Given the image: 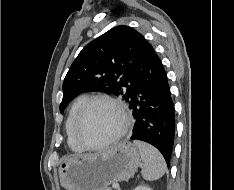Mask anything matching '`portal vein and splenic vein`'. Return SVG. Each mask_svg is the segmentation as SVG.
Returning <instances> with one entry per match:
<instances>
[{"mask_svg": "<svg viewBox=\"0 0 234 190\" xmlns=\"http://www.w3.org/2000/svg\"><path fill=\"white\" fill-rule=\"evenodd\" d=\"M112 187H113L114 189H118V188H119V184H118V183H113Z\"/></svg>", "mask_w": 234, "mask_h": 190, "instance_id": "obj_1", "label": "portal vein and splenic vein"}]
</instances>
